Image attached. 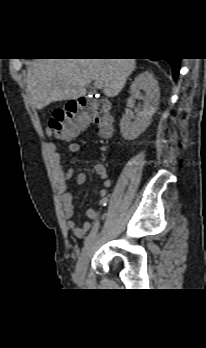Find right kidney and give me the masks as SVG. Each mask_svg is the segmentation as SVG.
<instances>
[{"label":"right kidney","mask_w":206,"mask_h":348,"mask_svg":"<svg viewBox=\"0 0 206 348\" xmlns=\"http://www.w3.org/2000/svg\"><path fill=\"white\" fill-rule=\"evenodd\" d=\"M142 91L144 96H141ZM130 92L133 97H142L143 107L136 115L128 109L121 118V134L124 139L129 141L139 137L150 125L152 116L159 106L160 88L153 73L145 71L135 78Z\"/></svg>","instance_id":"ca27d5eb"}]
</instances>
